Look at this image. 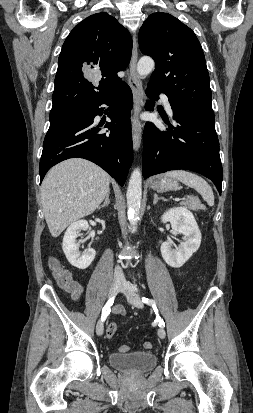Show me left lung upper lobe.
Listing matches in <instances>:
<instances>
[{
    "label": "left lung upper lobe",
    "instance_id": "left-lung-upper-lobe-1",
    "mask_svg": "<svg viewBox=\"0 0 253 413\" xmlns=\"http://www.w3.org/2000/svg\"><path fill=\"white\" fill-rule=\"evenodd\" d=\"M139 47L155 60L150 83L168 96L172 109L215 120L205 56L189 27L168 13H153L139 31Z\"/></svg>",
    "mask_w": 253,
    "mask_h": 413
}]
</instances>
